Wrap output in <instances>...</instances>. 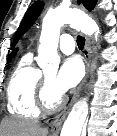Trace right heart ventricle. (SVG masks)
<instances>
[{"label": "right heart ventricle", "instance_id": "e07e8e85", "mask_svg": "<svg viewBox=\"0 0 117 136\" xmlns=\"http://www.w3.org/2000/svg\"><path fill=\"white\" fill-rule=\"evenodd\" d=\"M42 72L32 61V54H25L15 67L7 85V106L10 113L26 118H37L36 95Z\"/></svg>", "mask_w": 117, "mask_h": 136}]
</instances>
